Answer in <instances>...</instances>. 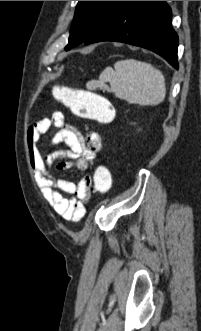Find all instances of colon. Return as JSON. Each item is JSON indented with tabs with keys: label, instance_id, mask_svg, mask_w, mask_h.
<instances>
[{
	"label": "colon",
	"instance_id": "obj_1",
	"mask_svg": "<svg viewBox=\"0 0 201 331\" xmlns=\"http://www.w3.org/2000/svg\"><path fill=\"white\" fill-rule=\"evenodd\" d=\"M54 97L67 106L79 117L106 124L114 118V108L102 95L85 89H73L67 86H56ZM112 186V176L109 169L99 166L94 171L93 184L89 190L99 195L106 194Z\"/></svg>",
	"mask_w": 201,
	"mask_h": 331
}]
</instances>
